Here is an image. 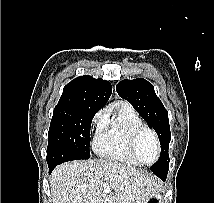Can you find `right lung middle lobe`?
I'll list each match as a JSON object with an SVG mask.
<instances>
[{
  "label": "right lung middle lobe",
  "mask_w": 214,
  "mask_h": 203,
  "mask_svg": "<svg viewBox=\"0 0 214 203\" xmlns=\"http://www.w3.org/2000/svg\"><path fill=\"white\" fill-rule=\"evenodd\" d=\"M98 111L82 105H57L54 108L48 134V165L90 158V127Z\"/></svg>",
  "instance_id": "dd1d6c3e"
}]
</instances>
